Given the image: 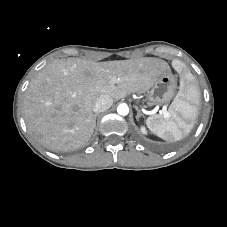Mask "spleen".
Instances as JSON below:
<instances>
[{
    "label": "spleen",
    "mask_w": 227,
    "mask_h": 227,
    "mask_svg": "<svg viewBox=\"0 0 227 227\" xmlns=\"http://www.w3.org/2000/svg\"><path fill=\"white\" fill-rule=\"evenodd\" d=\"M199 91L190 72L182 75L180 91L169 108V115H154L147 119L148 128L166 141H179L193 127L198 113Z\"/></svg>",
    "instance_id": "1"
}]
</instances>
